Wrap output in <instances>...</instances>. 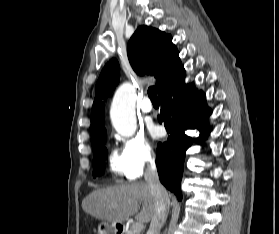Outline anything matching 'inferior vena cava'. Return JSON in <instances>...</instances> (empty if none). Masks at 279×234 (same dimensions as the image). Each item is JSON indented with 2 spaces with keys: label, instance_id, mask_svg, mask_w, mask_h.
Masks as SVG:
<instances>
[{
  "label": "inferior vena cava",
  "instance_id": "obj_1",
  "mask_svg": "<svg viewBox=\"0 0 279 234\" xmlns=\"http://www.w3.org/2000/svg\"><path fill=\"white\" fill-rule=\"evenodd\" d=\"M144 178L155 201L154 214L151 218L150 228L147 234H160V229L167 219L170 199L166 189L159 181L156 164L153 159L149 160L145 169Z\"/></svg>",
  "mask_w": 279,
  "mask_h": 234
}]
</instances>
